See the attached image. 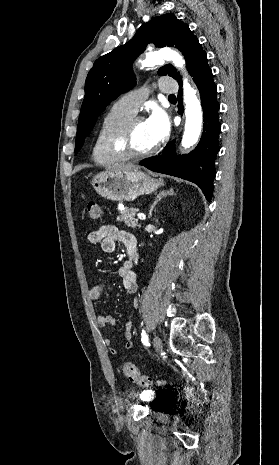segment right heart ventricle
I'll return each mask as SVG.
<instances>
[{
  "label": "right heart ventricle",
  "instance_id": "1",
  "mask_svg": "<svg viewBox=\"0 0 279 465\" xmlns=\"http://www.w3.org/2000/svg\"><path fill=\"white\" fill-rule=\"evenodd\" d=\"M134 114L115 103L103 116L98 127L92 148V159L99 165L117 162L119 158L110 155L106 149L107 138L110 133L131 118Z\"/></svg>",
  "mask_w": 279,
  "mask_h": 465
}]
</instances>
